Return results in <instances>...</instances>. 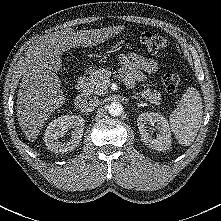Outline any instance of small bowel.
Listing matches in <instances>:
<instances>
[{
    "mask_svg": "<svg viewBox=\"0 0 221 221\" xmlns=\"http://www.w3.org/2000/svg\"><path fill=\"white\" fill-rule=\"evenodd\" d=\"M121 74L127 86L132 87L136 82L145 80V73H156L160 65L152 58L137 54H125L120 58Z\"/></svg>",
    "mask_w": 221,
    "mask_h": 221,
    "instance_id": "small-bowel-1",
    "label": "small bowel"
}]
</instances>
